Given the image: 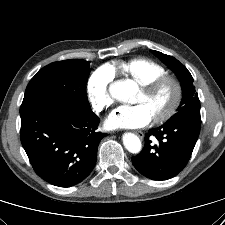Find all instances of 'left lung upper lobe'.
Here are the masks:
<instances>
[{"mask_svg":"<svg viewBox=\"0 0 225 225\" xmlns=\"http://www.w3.org/2000/svg\"><path fill=\"white\" fill-rule=\"evenodd\" d=\"M152 52L175 72L182 85V101L178 107L177 113H175L174 116L171 117L167 122L189 119L201 121L200 101L198 94L195 92V87L193 86V77L190 72L174 57L163 55L159 51L153 50Z\"/></svg>","mask_w":225,"mask_h":225,"instance_id":"obj_1","label":"left lung upper lobe"}]
</instances>
